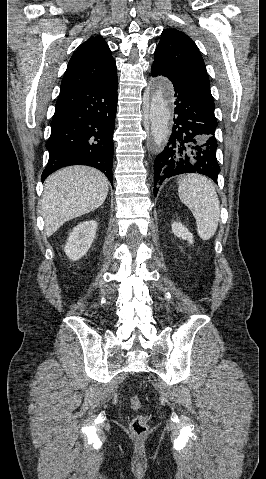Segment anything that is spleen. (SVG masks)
I'll use <instances>...</instances> for the list:
<instances>
[{
    "mask_svg": "<svg viewBox=\"0 0 266 479\" xmlns=\"http://www.w3.org/2000/svg\"><path fill=\"white\" fill-rule=\"evenodd\" d=\"M178 193L196 220L199 237L210 240L216 233L220 217V203L213 182L203 175H186L179 182Z\"/></svg>",
    "mask_w": 266,
    "mask_h": 479,
    "instance_id": "spleen-1",
    "label": "spleen"
}]
</instances>
